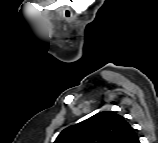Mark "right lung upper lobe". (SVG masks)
<instances>
[{
    "label": "right lung upper lobe",
    "mask_w": 158,
    "mask_h": 143,
    "mask_svg": "<svg viewBox=\"0 0 158 143\" xmlns=\"http://www.w3.org/2000/svg\"><path fill=\"white\" fill-rule=\"evenodd\" d=\"M54 143H139L124 117L103 111L64 129Z\"/></svg>",
    "instance_id": "cb5924a9"
}]
</instances>
